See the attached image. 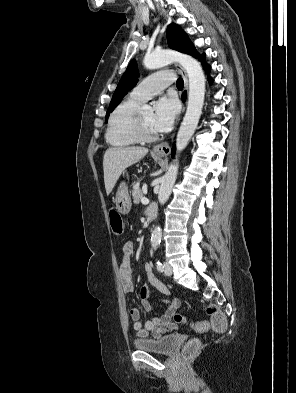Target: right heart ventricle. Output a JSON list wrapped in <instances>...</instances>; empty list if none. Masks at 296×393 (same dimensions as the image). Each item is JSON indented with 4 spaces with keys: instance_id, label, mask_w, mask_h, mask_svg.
<instances>
[{
    "instance_id": "e07e8e85",
    "label": "right heart ventricle",
    "mask_w": 296,
    "mask_h": 393,
    "mask_svg": "<svg viewBox=\"0 0 296 393\" xmlns=\"http://www.w3.org/2000/svg\"><path fill=\"white\" fill-rule=\"evenodd\" d=\"M139 102L130 97L119 103L110 114L105 138L115 148H126L139 143L135 136L134 123Z\"/></svg>"
}]
</instances>
